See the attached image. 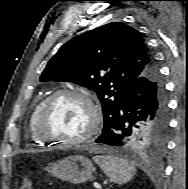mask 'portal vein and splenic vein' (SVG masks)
I'll list each match as a JSON object with an SVG mask.
<instances>
[{
	"label": "portal vein and splenic vein",
	"mask_w": 188,
	"mask_h": 189,
	"mask_svg": "<svg viewBox=\"0 0 188 189\" xmlns=\"http://www.w3.org/2000/svg\"><path fill=\"white\" fill-rule=\"evenodd\" d=\"M95 188H101L98 184H94Z\"/></svg>",
	"instance_id": "18ae733b"
}]
</instances>
